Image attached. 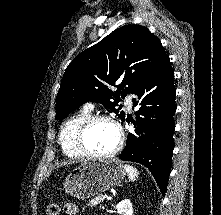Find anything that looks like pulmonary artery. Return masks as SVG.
Instances as JSON below:
<instances>
[{"instance_id":"1","label":"pulmonary artery","mask_w":221,"mask_h":215,"mask_svg":"<svg viewBox=\"0 0 221 215\" xmlns=\"http://www.w3.org/2000/svg\"><path fill=\"white\" fill-rule=\"evenodd\" d=\"M126 105H127V108L128 109H131L132 108V100H131V97L130 96H128L127 98H126ZM85 108L87 109V110H92L93 109V106L91 105V104H87L86 106H85Z\"/></svg>"}]
</instances>
